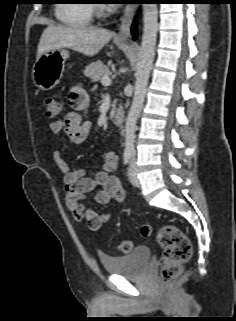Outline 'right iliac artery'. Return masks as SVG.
<instances>
[{
    "mask_svg": "<svg viewBox=\"0 0 236 321\" xmlns=\"http://www.w3.org/2000/svg\"><path fill=\"white\" fill-rule=\"evenodd\" d=\"M131 152H125L124 155H123V161H124V164L125 165H128L129 162H130V159H131Z\"/></svg>",
    "mask_w": 236,
    "mask_h": 321,
    "instance_id": "obj_1",
    "label": "right iliac artery"
}]
</instances>
